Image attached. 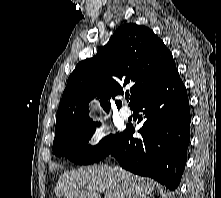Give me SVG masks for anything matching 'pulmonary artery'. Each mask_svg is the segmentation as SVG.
Masks as SVG:
<instances>
[{"label": "pulmonary artery", "mask_w": 221, "mask_h": 198, "mask_svg": "<svg viewBox=\"0 0 221 198\" xmlns=\"http://www.w3.org/2000/svg\"><path fill=\"white\" fill-rule=\"evenodd\" d=\"M119 114L123 119H127L131 116L132 111L128 106H122L119 110Z\"/></svg>", "instance_id": "1"}]
</instances>
